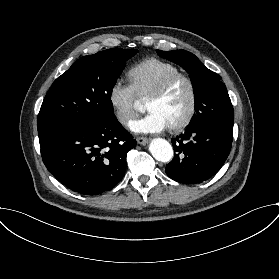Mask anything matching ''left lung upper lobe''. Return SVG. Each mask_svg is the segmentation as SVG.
I'll return each mask as SVG.
<instances>
[{"label": "left lung upper lobe", "mask_w": 279, "mask_h": 279, "mask_svg": "<svg viewBox=\"0 0 279 279\" xmlns=\"http://www.w3.org/2000/svg\"><path fill=\"white\" fill-rule=\"evenodd\" d=\"M159 56L172 61L189 74L195 96V111L188 127L203 121L234 122V111L221 77L209 70L192 53L184 50L161 51Z\"/></svg>", "instance_id": "obj_1"}]
</instances>
